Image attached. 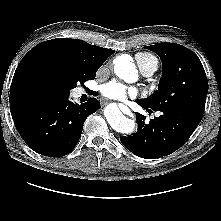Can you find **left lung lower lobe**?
Wrapping results in <instances>:
<instances>
[{"label":"left lung lower lobe","mask_w":221,"mask_h":221,"mask_svg":"<svg viewBox=\"0 0 221 221\" xmlns=\"http://www.w3.org/2000/svg\"><path fill=\"white\" fill-rule=\"evenodd\" d=\"M137 103L143 108H149L140 101ZM161 112V116L149 123H145V116L135 113L138 131L120 138L122 144L133 154L154 159L173 153L189 139L202 119L201 114L188 113L182 109H166Z\"/></svg>","instance_id":"0a47b994"}]
</instances>
